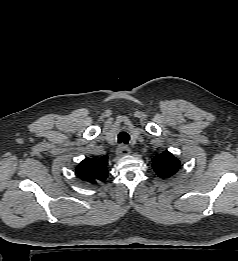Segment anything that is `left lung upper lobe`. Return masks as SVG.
Instances as JSON below:
<instances>
[{"label": "left lung upper lobe", "mask_w": 238, "mask_h": 261, "mask_svg": "<svg viewBox=\"0 0 238 261\" xmlns=\"http://www.w3.org/2000/svg\"><path fill=\"white\" fill-rule=\"evenodd\" d=\"M153 169L161 178H169L178 171L180 161L169 151H165L153 159Z\"/></svg>", "instance_id": "obj_1"}]
</instances>
